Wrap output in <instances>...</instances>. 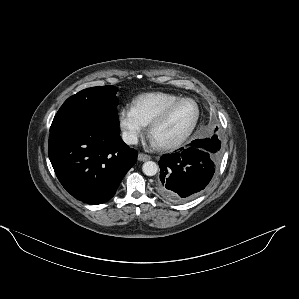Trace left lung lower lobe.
Wrapping results in <instances>:
<instances>
[{
  "label": "left lung lower lobe",
  "instance_id": "1",
  "mask_svg": "<svg viewBox=\"0 0 299 299\" xmlns=\"http://www.w3.org/2000/svg\"><path fill=\"white\" fill-rule=\"evenodd\" d=\"M221 151L209 139H196L180 152L159 161L157 192L164 199L182 203L202 193L214 177Z\"/></svg>",
  "mask_w": 299,
  "mask_h": 299
}]
</instances>
